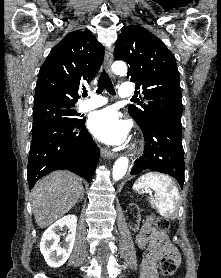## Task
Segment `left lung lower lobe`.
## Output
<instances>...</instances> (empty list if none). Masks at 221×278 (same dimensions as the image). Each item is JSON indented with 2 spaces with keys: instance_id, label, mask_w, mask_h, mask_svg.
Wrapping results in <instances>:
<instances>
[{
  "instance_id": "left-lung-lower-lobe-1",
  "label": "left lung lower lobe",
  "mask_w": 221,
  "mask_h": 278,
  "mask_svg": "<svg viewBox=\"0 0 221 278\" xmlns=\"http://www.w3.org/2000/svg\"><path fill=\"white\" fill-rule=\"evenodd\" d=\"M145 140L144 154L134 162L131 174L154 170L169 174L184 184V152L181 120L159 117L141 128Z\"/></svg>"
}]
</instances>
